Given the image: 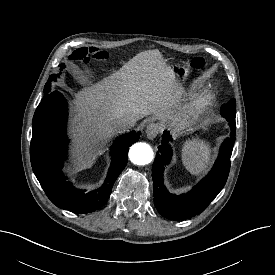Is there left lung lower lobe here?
Wrapping results in <instances>:
<instances>
[{"label": "left lung lower lobe", "mask_w": 275, "mask_h": 275, "mask_svg": "<svg viewBox=\"0 0 275 275\" xmlns=\"http://www.w3.org/2000/svg\"><path fill=\"white\" fill-rule=\"evenodd\" d=\"M229 125L230 136L222 143L219 156L211 171L190 192L179 196L168 192L163 183L164 168L172 157V150L168 145L172 137L169 132L164 131L162 144L158 147L152 166L154 204L162 216L175 221L196 216L204 211L222 190L228 178L236 135V124L229 122Z\"/></svg>", "instance_id": "left-lung-lower-lobe-1"}]
</instances>
